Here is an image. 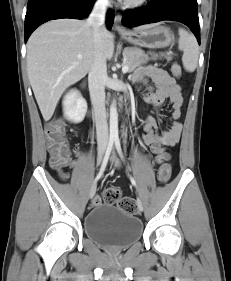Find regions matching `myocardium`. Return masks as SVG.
<instances>
[{"mask_svg":"<svg viewBox=\"0 0 231 281\" xmlns=\"http://www.w3.org/2000/svg\"><path fill=\"white\" fill-rule=\"evenodd\" d=\"M149 0H125V6L129 9H138L144 7Z\"/></svg>","mask_w":231,"mask_h":281,"instance_id":"1","label":"myocardium"}]
</instances>
